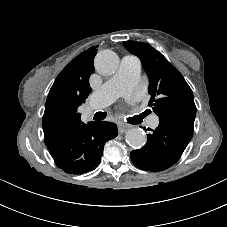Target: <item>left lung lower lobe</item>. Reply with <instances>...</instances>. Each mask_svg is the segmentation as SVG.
Listing matches in <instances>:
<instances>
[{
    "instance_id": "0a47b994",
    "label": "left lung lower lobe",
    "mask_w": 227,
    "mask_h": 227,
    "mask_svg": "<svg viewBox=\"0 0 227 227\" xmlns=\"http://www.w3.org/2000/svg\"><path fill=\"white\" fill-rule=\"evenodd\" d=\"M148 135L147 143L130 153L138 168L158 172L175 164L181 157L193 132L180 126L159 122V126Z\"/></svg>"
}]
</instances>
